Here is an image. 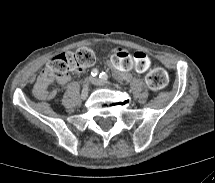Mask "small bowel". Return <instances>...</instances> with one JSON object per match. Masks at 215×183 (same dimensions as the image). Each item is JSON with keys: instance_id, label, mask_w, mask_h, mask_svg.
<instances>
[{"instance_id": "obj_1", "label": "small bowel", "mask_w": 215, "mask_h": 183, "mask_svg": "<svg viewBox=\"0 0 215 183\" xmlns=\"http://www.w3.org/2000/svg\"><path fill=\"white\" fill-rule=\"evenodd\" d=\"M117 47L111 55L108 65L112 68L118 79L128 80L130 76L136 77L142 75L147 69V58L140 51H129ZM44 70L38 75L33 84L32 93L39 100H52L57 96V90H48L49 84L53 80H43ZM71 76L67 74L62 78H58L57 82L65 85L70 82Z\"/></svg>"}]
</instances>
